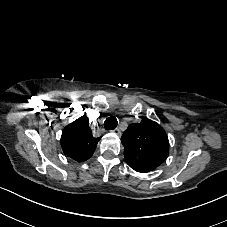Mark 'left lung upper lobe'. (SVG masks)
Masks as SVG:
<instances>
[{
  "label": "left lung upper lobe",
  "mask_w": 227,
  "mask_h": 227,
  "mask_svg": "<svg viewBox=\"0 0 227 227\" xmlns=\"http://www.w3.org/2000/svg\"><path fill=\"white\" fill-rule=\"evenodd\" d=\"M121 139L125 160L137 172L152 171L168 157L169 141L165 131L148 118L130 124Z\"/></svg>",
  "instance_id": "obj_1"
}]
</instances>
